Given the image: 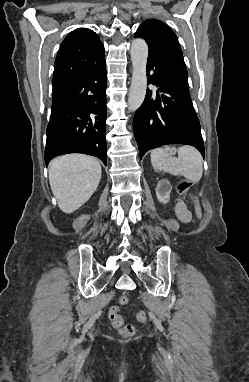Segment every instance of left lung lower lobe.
I'll return each mask as SVG.
<instances>
[{
  "label": "left lung lower lobe",
  "instance_id": "left-lung-lower-lobe-1",
  "mask_svg": "<svg viewBox=\"0 0 249 382\" xmlns=\"http://www.w3.org/2000/svg\"><path fill=\"white\" fill-rule=\"evenodd\" d=\"M148 84H156V94L147 89L143 104L136 111L133 129L140 157L150 149L166 144H188L196 147L204 157L200 123L189 93V85L169 74L148 58Z\"/></svg>",
  "mask_w": 249,
  "mask_h": 382
}]
</instances>
